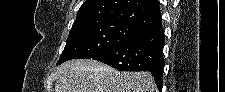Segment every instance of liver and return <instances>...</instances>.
<instances>
[{
  "mask_svg": "<svg viewBox=\"0 0 225 92\" xmlns=\"http://www.w3.org/2000/svg\"><path fill=\"white\" fill-rule=\"evenodd\" d=\"M55 92H157L149 72H119L92 59H75L57 67Z\"/></svg>",
  "mask_w": 225,
  "mask_h": 92,
  "instance_id": "liver-1",
  "label": "liver"
}]
</instances>
